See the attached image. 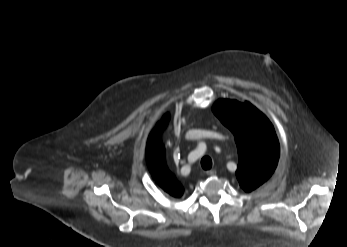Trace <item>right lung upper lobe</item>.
Returning a JSON list of instances; mask_svg holds the SVG:
<instances>
[{
  "label": "right lung upper lobe",
  "mask_w": 347,
  "mask_h": 247,
  "mask_svg": "<svg viewBox=\"0 0 347 247\" xmlns=\"http://www.w3.org/2000/svg\"><path fill=\"white\" fill-rule=\"evenodd\" d=\"M169 118V114H165L151 132L146 147V158L149 171L156 183L170 195L181 197L183 187L176 182L166 167L164 146L161 142V131L167 126Z\"/></svg>",
  "instance_id": "cb5924a9"
}]
</instances>
